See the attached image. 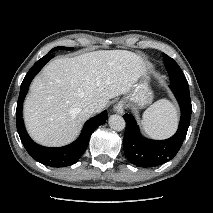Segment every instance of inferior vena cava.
I'll return each mask as SVG.
<instances>
[{
  "instance_id": "1",
  "label": "inferior vena cava",
  "mask_w": 213,
  "mask_h": 213,
  "mask_svg": "<svg viewBox=\"0 0 213 213\" xmlns=\"http://www.w3.org/2000/svg\"><path fill=\"white\" fill-rule=\"evenodd\" d=\"M86 112L93 114L100 111V106L97 103H91L86 107Z\"/></svg>"
}]
</instances>
